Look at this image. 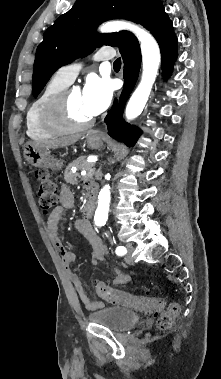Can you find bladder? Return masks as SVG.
<instances>
[{"instance_id": "bladder-1", "label": "bladder", "mask_w": 221, "mask_h": 379, "mask_svg": "<svg viewBox=\"0 0 221 379\" xmlns=\"http://www.w3.org/2000/svg\"><path fill=\"white\" fill-rule=\"evenodd\" d=\"M89 322L110 328L115 332H126L138 322V316L129 309L119 306L100 308L88 314Z\"/></svg>"}]
</instances>
